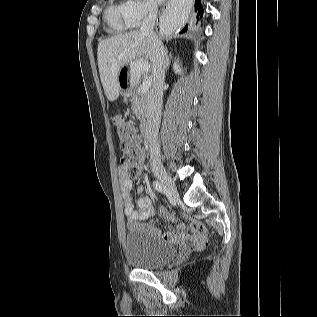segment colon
Masks as SVG:
<instances>
[{"mask_svg":"<svg viewBox=\"0 0 317 317\" xmlns=\"http://www.w3.org/2000/svg\"><path fill=\"white\" fill-rule=\"evenodd\" d=\"M115 124L117 126L118 135L120 138V145L123 151V163L126 167L127 173L130 176H137L140 173V148L138 138L132 128V126L126 122L121 116H116ZM206 241V240H205ZM205 241L200 244H189L190 249H197L201 247Z\"/></svg>","mask_w":317,"mask_h":317,"instance_id":"5ec220e1","label":"colon"}]
</instances>
